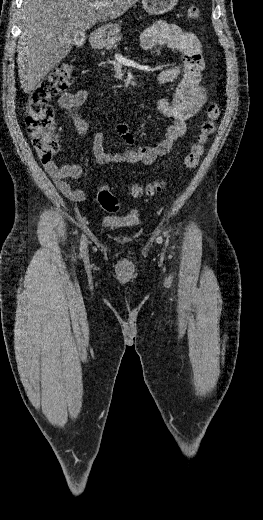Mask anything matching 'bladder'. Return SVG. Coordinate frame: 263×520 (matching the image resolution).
<instances>
[{"instance_id":"bladder-1","label":"bladder","mask_w":263,"mask_h":520,"mask_svg":"<svg viewBox=\"0 0 263 520\" xmlns=\"http://www.w3.org/2000/svg\"><path fill=\"white\" fill-rule=\"evenodd\" d=\"M140 224V217L136 212L120 216H108L102 219V226L107 230L133 229Z\"/></svg>"}]
</instances>
